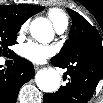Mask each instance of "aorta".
Returning a JSON list of instances; mask_svg holds the SVG:
<instances>
[{"label":"aorta","instance_id":"1","mask_svg":"<svg viewBox=\"0 0 103 103\" xmlns=\"http://www.w3.org/2000/svg\"><path fill=\"white\" fill-rule=\"evenodd\" d=\"M51 29L50 22L45 18L35 19L30 26L31 35L36 39H40L44 32H51ZM35 79L39 89L47 93L56 91L61 81L58 71L53 68L38 71Z\"/></svg>","mask_w":103,"mask_h":103}]
</instances>
